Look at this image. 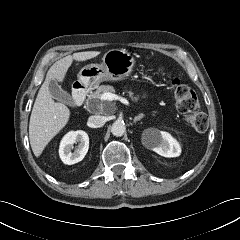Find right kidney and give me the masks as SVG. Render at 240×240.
Masks as SVG:
<instances>
[{
    "mask_svg": "<svg viewBox=\"0 0 240 240\" xmlns=\"http://www.w3.org/2000/svg\"><path fill=\"white\" fill-rule=\"evenodd\" d=\"M78 143L74 152H72L73 144ZM89 149V137L85 131H71L67 133L59 148V155L61 160L68 165L80 162L85 157Z\"/></svg>",
    "mask_w": 240,
    "mask_h": 240,
    "instance_id": "right-kidney-1",
    "label": "right kidney"
}]
</instances>
